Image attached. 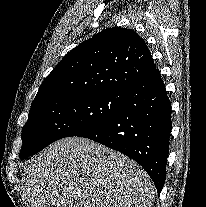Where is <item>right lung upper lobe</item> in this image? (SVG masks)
Listing matches in <instances>:
<instances>
[{"instance_id": "obj_1", "label": "right lung upper lobe", "mask_w": 206, "mask_h": 207, "mask_svg": "<svg viewBox=\"0 0 206 207\" xmlns=\"http://www.w3.org/2000/svg\"><path fill=\"white\" fill-rule=\"evenodd\" d=\"M144 40L130 29H105L84 41L59 62L32 102L72 95L124 94L155 70Z\"/></svg>"}]
</instances>
